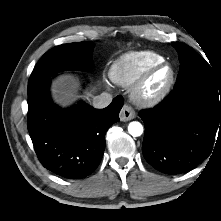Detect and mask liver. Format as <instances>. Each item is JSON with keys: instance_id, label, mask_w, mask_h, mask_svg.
Returning a JSON list of instances; mask_svg holds the SVG:
<instances>
[{"instance_id": "obj_1", "label": "liver", "mask_w": 221, "mask_h": 221, "mask_svg": "<svg viewBox=\"0 0 221 221\" xmlns=\"http://www.w3.org/2000/svg\"><path fill=\"white\" fill-rule=\"evenodd\" d=\"M75 82L67 76L58 78L52 86L54 100L65 107L75 100Z\"/></svg>"}]
</instances>
